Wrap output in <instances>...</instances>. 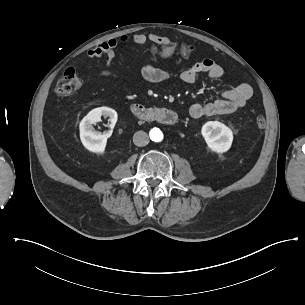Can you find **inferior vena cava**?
Segmentation results:
<instances>
[{
    "instance_id": "obj_1",
    "label": "inferior vena cava",
    "mask_w": 305,
    "mask_h": 305,
    "mask_svg": "<svg viewBox=\"0 0 305 305\" xmlns=\"http://www.w3.org/2000/svg\"><path fill=\"white\" fill-rule=\"evenodd\" d=\"M133 142L136 146H146L149 142V136L144 131H137L133 136Z\"/></svg>"
}]
</instances>
